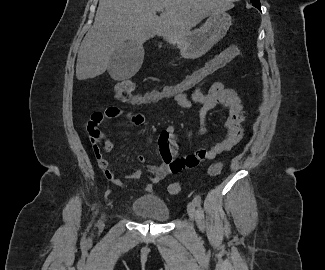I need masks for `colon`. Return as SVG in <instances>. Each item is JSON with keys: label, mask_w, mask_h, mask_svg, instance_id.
Listing matches in <instances>:
<instances>
[{"label": "colon", "mask_w": 325, "mask_h": 270, "mask_svg": "<svg viewBox=\"0 0 325 270\" xmlns=\"http://www.w3.org/2000/svg\"><path fill=\"white\" fill-rule=\"evenodd\" d=\"M239 54V48L235 45H231L211 60L207 61L203 66L188 74L181 81L144 93H135V84L132 80H121L116 85V98L122 103L136 106L175 100L178 96L187 94L188 91L202 85L211 75L227 65L234 58L238 57ZM89 133L91 141H96L101 138V133L98 129L89 130ZM221 170L222 163L217 162L208 168L207 174L209 176H216ZM181 188L179 183H172L169 185L168 190L170 194L177 195L180 193Z\"/></svg>", "instance_id": "5ec220e1"}]
</instances>
